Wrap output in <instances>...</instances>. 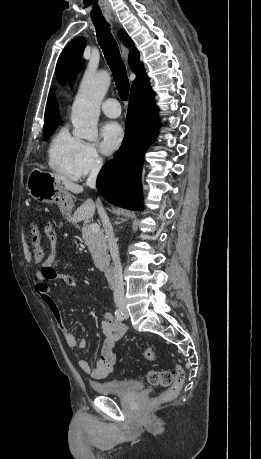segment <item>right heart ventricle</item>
<instances>
[{
	"label": "right heart ventricle",
	"mask_w": 261,
	"mask_h": 459,
	"mask_svg": "<svg viewBox=\"0 0 261 459\" xmlns=\"http://www.w3.org/2000/svg\"><path fill=\"white\" fill-rule=\"evenodd\" d=\"M81 140L71 135L68 128H59L48 147V164L60 176L76 180L80 176L76 167Z\"/></svg>",
	"instance_id": "e07e8e85"
}]
</instances>
